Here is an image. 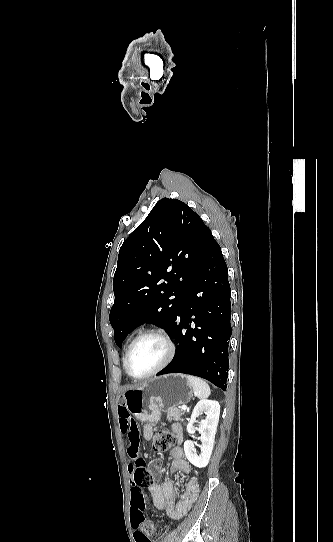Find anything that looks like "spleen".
<instances>
[{
  "label": "spleen",
  "instance_id": "obj_1",
  "mask_svg": "<svg viewBox=\"0 0 333 542\" xmlns=\"http://www.w3.org/2000/svg\"><path fill=\"white\" fill-rule=\"evenodd\" d=\"M186 378L189 384H191V388L195 396H197L199 400H205V398H209L211 390L208 384L204 382V380H200V378H195V376H186Z\"/></svg>",
  "mask_w": 333,
  "mask_h": 542
}]
</instances>
